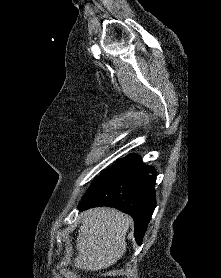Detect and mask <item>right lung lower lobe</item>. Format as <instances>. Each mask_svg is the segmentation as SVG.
Masks as SVG:
<instances>
[{"label": "right lung lower lobe", "instance_id": "98d812e1", "mask_svg": "<svg viewBox=\"0 0 221 278\" xmlns=\"http://www.w3.org/2000/svg\"><path fill=\"white\" fill-rule=\"evenodd\" d=\"M156 171L139 156L132 163L100 183L82 199L80 211L91 207H114L129 214L135 223L134 236L141 245L156 206L154 185Z\"/></svg>", "mask_w": 221, "mask_h": 278}]
</instances>
